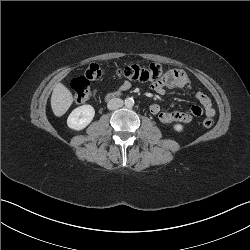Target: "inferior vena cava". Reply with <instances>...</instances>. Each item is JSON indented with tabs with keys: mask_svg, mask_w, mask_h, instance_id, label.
<instances>
[{
	"mask_svg": "<svg viewBox=\"0 0 250 250\" xmlns=\"http://www.w3.org/2000/svg\"><path fill=\"white\" fill-rule=\"evenodd\" d=\"M124 104L123 100L120 98H113L108 101L107 107L109 110H116L122 107Z\"/></svg>",
	"mask_w": 250,
	"mask_h": 250,
	"instance_id": "602c4592",
	"label": "inferior vena cava"
}]
</instances>
